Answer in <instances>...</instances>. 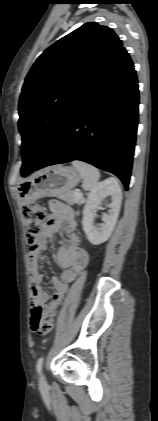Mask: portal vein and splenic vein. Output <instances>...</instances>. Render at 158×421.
Instances as JSON below:
<instances>
[{
	"mask_svg": "<svg viewBox=\"0 0 158 421\" xmlns=\"http://www.w3.org/2000/svg\"><path fill=\"white\" fill-rule=\"evenodd\" d=\"M74 195H75L77 198H83V196H82V194H81L80 192H74Z\"/></svg>",
	"mask_w": 158,
	"mask_h": 421,
	"instance_id": "1",
	"label": "portal vein and splenic vein"
}]
</instances>
